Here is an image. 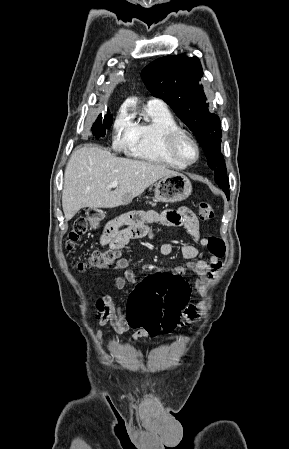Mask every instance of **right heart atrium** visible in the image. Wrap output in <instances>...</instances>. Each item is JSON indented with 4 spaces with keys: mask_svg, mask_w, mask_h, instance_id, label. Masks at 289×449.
I'll use <instances>...</instances> for the list:
<instances>
[{
    "mask_svg": "<svg viewBox=\"0 0 289 449\" xmlns=\"http://www.w3.org/2000/svg\"><path fill=\"white\" fill-rule=\"evenodd\" d=\"M134 136V121L127 107L122 106L113 122V142L119 148H130Z\"/></svg>",
    "mask_w": 289,
    "mask_h": 449,
    "instance_id": "d8ad5b80",
    "label": "right heart atrium"
}]
</instances>
